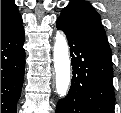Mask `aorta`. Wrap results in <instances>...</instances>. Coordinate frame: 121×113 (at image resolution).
<instances>
[{
  "label": "aorta",
  "instance_id": "762f6f07",
  "mask_svg": "<svg viewBox=\"0 0 121 113\" xmlns=\"http://www.w3.org/2000/svg\"><path fill=\"white\" fill-rule=\"evenodd\" d=\"M53 56L56 73V91L61 97H64L68 93L70 84V58L66 37L60 31L56 34Z\"/></svg>",
  "mask_w": 121,
  "mask_h": 113
}]
</instances>
